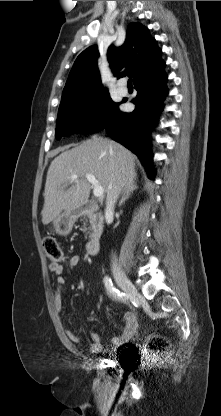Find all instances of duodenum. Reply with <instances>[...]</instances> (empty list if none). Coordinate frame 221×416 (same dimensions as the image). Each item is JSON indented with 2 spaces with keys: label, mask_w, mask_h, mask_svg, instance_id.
I'll return each mask as SVG.
<instances>
[{
  "label": "duodenum",
  "mask_w": 221,
  "mask_h": 416,
  "mask_svg": "<svg viewBox=\"0 0 221 416\" xmlns=\"http://www.w3.org/2000/svg\"><path fill=\"white\" fill-rule=\"evenodd\" d=\"M97 209V205L92 201L84 202L83 204L73 208L70 211L71 216L78 217L85 211H94ZM101 243V236L94 235L92 236L86 245V252L89 255H96L98 254L99 248Z\"/></svg>",
  "instance_id": "obj_1"
}]
</instances>
